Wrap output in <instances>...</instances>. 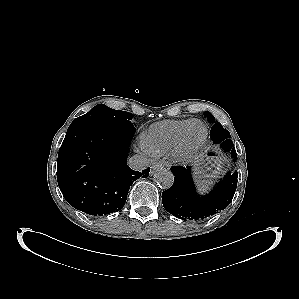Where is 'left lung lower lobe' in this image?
<instances>
[{
    "instance_id": "1",
    "label": "left lung lower lobe",
    "mask_w": 299,
    "mask_h": 299,
    "mask_svg": "<svg viewBox=\"0 0 299 299\" xmlns=\"http://www.w3.org/2000/svg\"><path fill=\"white\" fill-rule=\"evenodd\" d=\"M237 160L231 140L219 143ZM173 185L162 193V203L170 214L186 220H202L225 209L232 201L237 187V171L227 173L216 188L205 196H198L191 177V167L173 166Z\"/></svg>"
}]
</instances>
